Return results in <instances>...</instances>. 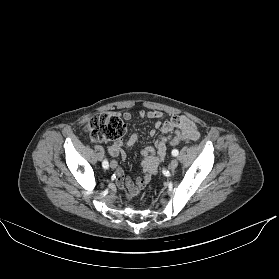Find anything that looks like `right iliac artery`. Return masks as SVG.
<instances>
[{
	"instance_id": "82829eb1",
	"label": "right iliac artery",
	"mask_w": 279,
	"mask_h": 279,
	"mask_svg": "<svg viewBox=\"0 0 279 279\" xmlns=\"http://www.w3.org/2000/svg\"><path fill=\"white\" fill-rule=\"evenodd\" d=\"M103 168L107 169L109 167L108 161L104 160L102 163Z\"/></svg>"
}]
</instances>
